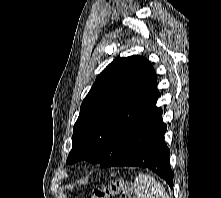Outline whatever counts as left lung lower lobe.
Here are the masks:
<instances>
[{"label":"left lung lower lobe","instance_id":"0a47b994","mask_svg":"<svg viewBox=\"0 0 221 198\" xmlns=\"http://www.w3.org/2000/svg\"><path fill=\"white\" fill-rule=\"evenodd\" d=\"M167 126L162 122V110L153 114L113 152L101 167L135 166L149 168L164 178L172 188L169 149L164 142Z\"/></svg>","mask_w":221,"mask_h":198}]
</instances>
